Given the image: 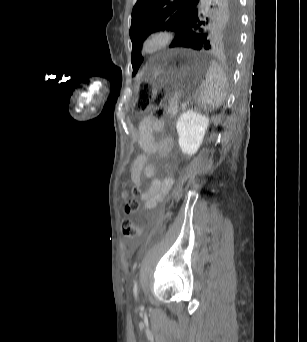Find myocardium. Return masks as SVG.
Wrapping results in <instances>:
<instances>
[{
	"mask_svg": "<svg viewBox=\"0 0 307 342\" xmlns=\"http://www.w3.org/2000/svg\"><path fill=\"white\" fill-rule=\"evenodd\" d=\"M176 32L169 24L153 26L141 42V51L146 56H155L173 45Z\"/></svg>",
	"mask_w": 307,
	"mask_h": 342,
	"instance_id": "myocardium-1",
	"label": "myocardium"
}]
</instances>
